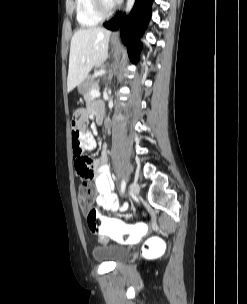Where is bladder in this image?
Wrapping results in <instances>:
<instances>
[{"label": "bladder", "mask_w": 247, "mask_h": 304, "mask_svg": "<svg viewBox=\"0 0 247 304\" xmlns=\"http://www.w3.org/2000/svg\"><path fill=\"white\" fill-rule=\"evenodd\" d=\"M128 255L127 248L115 245L98 246L92 250L93 258L99 262L119 263L124 261Z\"/></svg>", "instance_id": "obj_1"}]
</instances>
